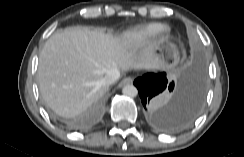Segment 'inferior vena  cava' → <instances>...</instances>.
Returning a JSON list of instances; mask_svg holds the SVG:
<instances>
[{
	"instance_id": "obj_1",
	"label": "inferior vena cava",
	"mask_w": 244,
	"mask_h": 157,
	"mask_svg": "<svg viewBox=\"0 0 244 157\" xmlns=\"http://www.w3.org/2000/svg\"><path fill=\"white\" fill-rule=\"evenodd\" d=\"M120 77V72L118 70L110 71L103 79V84L109 86L115 83Z\"/></svg>"
}]
</instances>
